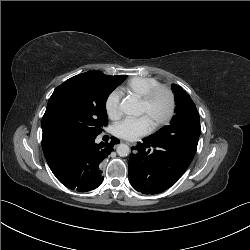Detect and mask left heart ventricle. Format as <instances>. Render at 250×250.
<instances>
[{"label": "left heart ventricle", "instance_id": "1", "mask_svg": "<svg viewBox=\"0 0 250 250\" xmlns=\"http://www.w3.org/2000/svg\"><path fill=\"white\" fill-rule=\"evenodd\" d=\"M168 109V100L165 94H159L149 106L140 103V113L149 117L151 122L162 118Z\"/></svg>", "mask_w": 250, "mask_h": 250}]
</instances>
